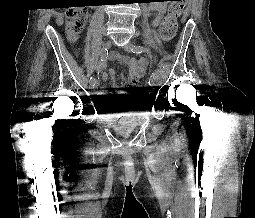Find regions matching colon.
<instances>
[{
    "mask_svg": "<svg viewBox=\"0 0 255 218\" xmlns=\"http://www.w3.org/2000/svg\"><path fill=\"white\" fill-rule=\"evenodd\" d=\"M168 13L162 20L160 36L163 41H171L177 32L178 18L181 16L185 0H169ZM88 12L85 7H71L66 11V32L71 39H76L85 29ZM142 91L139 88L138 94Z\"/></svg>",
    "mask_w": 255,
    "mask_h": 218,
    "instance_id": "5ec220e1",
    "label": "colon"
}]
</instances>
